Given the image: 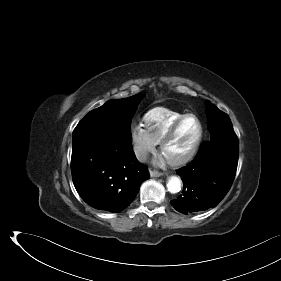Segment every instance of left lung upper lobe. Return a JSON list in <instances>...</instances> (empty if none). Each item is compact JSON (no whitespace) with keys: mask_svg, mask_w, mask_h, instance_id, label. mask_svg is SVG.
Wrapping results in <instances>:
<instances>
[{"mask_svg":"<svg viewBox=\"0 0 281 281\" xmlns=\"http://www.w3.org/2000/svg\"><path fill=\"white\" fill-rule=\"evenodd\" d=\"M207 108L211 135L209 142L218 146L238 144V138L233 130L229 116L210 102H208Z\"/></svg>","mask_w":281,"mask_h":281,"instance_id":"left-lung-upper-lobe-1","label":"left lung upper lobe"}]
</instances>
